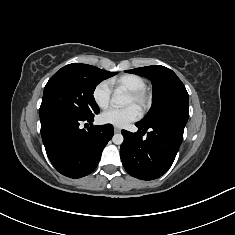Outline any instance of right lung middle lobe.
Returning a JSON list of instances; mask_svg holds the SVG:
<instances>
[{
  "label": "right lung middle lobe",
  "instance_id": "dd1d6c3e",
  "mask_svg": "<svg viewBox=\"0 0 235 235\" xmlns=\"http://www.w3.org/2000/svg\"><path fill=\"white\" fill-rule=\"evenodd\" d=\"M117 72H108L91 65L69 64L47 82L40 106V117L61 115L88 118L100 112L93 93L96 86Z\"/></svg>",
  "mask_w": 235,
  "mask_h": 235
}]
</instances>
